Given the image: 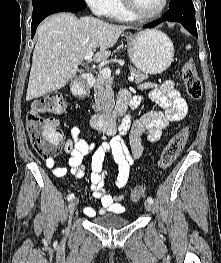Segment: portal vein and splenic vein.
<instances>
[{
  "label": "portal vein and splenic vein",
  "instance_id": "obj_1",
  "mask_svg": "<svg viewBox=\"0 0 221 263\" xmlns=\"http://www.w3.org/2000/svg\"><path fill=\"white\" fill-rule=\"evenodd\" d=\"M94 52L90 51L88 52L85 56H84V60L85 61H89L92 56H93ZM96 66L93 65V68H95ZM100 73L103 75V77L105 78H109L111 76V70L108 67H104V68H99ZM129 81H133L134 80V76L131 75L128 77Z\"/></svg>",
  "mask_w": 221,
  "mask_h": 263
}]
</instances>
